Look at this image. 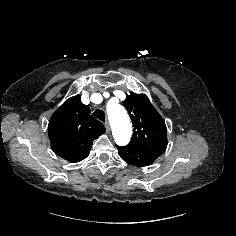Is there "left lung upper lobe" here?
I'll return each mask as SVG.
<instances>
[{
  "label": "left lung upper lobe",
  "instance_id": "obj_1",
  "mask_svg": "<svg viewBox=\"0 0 236 236\" xmlns=\"http://www.w3.org/2000/svg\"><path fill=\"white\" fill-rule=\"evenodd\" d=\"M133 123L128 147L163 149L167 147L166 125L144 94L130 93L123 103Z\"/></svg>",
  "mask_w": 236,
  "mask_h": 236
}]
</instances>
